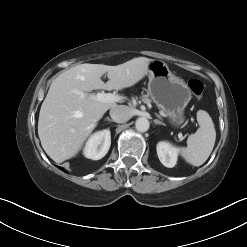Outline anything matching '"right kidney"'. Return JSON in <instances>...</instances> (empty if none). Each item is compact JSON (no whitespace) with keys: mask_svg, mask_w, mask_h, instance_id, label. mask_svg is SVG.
Masks as SVG:
<instances>
[{"mask_svg":"<svg viewBox=\"0 0 247 247\" xmlns=\"http://www.w3.org/2000/svg\"><path fill=\"white\" fill-rule=\"evenodd\" d=\"M110 145V130L105 129L98 131L87 140L83 150L84 156L92 160H99L107 154Z\"/></svg>","mask_w":247,"mask_h":247,"instance_id":"obj_1","label":"right kidney"}]
</instances>
